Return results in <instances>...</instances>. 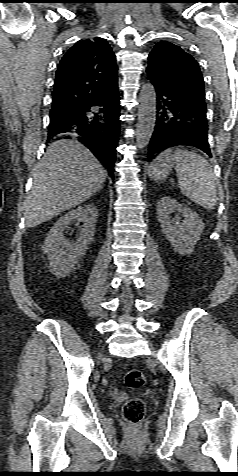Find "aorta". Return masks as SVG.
Masks as SVG:
<instances>
[{
	"label": "aorta",
	"instance_id": "aorta-1",
	"mask_svg": "<svg viewBox=\"0 0 238 476\" xmlns=\"http://www.w3.org/2000/svg\"><path fill=\"white\" fill-rule=\"evenodd\" d=\"M156 122V93L150 83L142 85L139 94L138 123L136 128V146L145 148L154 131Z\"/></svg>",
	"mask_w": 238,
	"mask_h": 476
}]
</instances>
